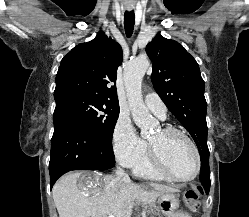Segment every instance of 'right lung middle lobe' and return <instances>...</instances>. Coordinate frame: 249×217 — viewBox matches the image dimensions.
Returning a JSON list of instances; mask_svg holds the SVG:
<instances>
[{
	"label": "right lung middle lobe",
	"mask_w": 249,
	"mask_h": 217,
	"mask_svg": "<svg viewBox=\"0 0 249 217\" xmlns=\"http://www.w3.org/2000/svg\"><path fill=\"white\" fill-rule=\"evenodd\" d=\"M54 114L72 117L91 134L105 142H112V135L119 116V104L110 103L80 93L54 96Z\"/></svg>",
	"instance_id": "dd1d6c3e"
}]
</instances>
